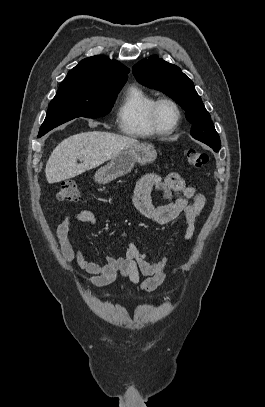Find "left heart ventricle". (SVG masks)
Instances as JSON below:
<instances>
[{
    "instance_id": "obj_1",
    "label": "left heart ventricle",
    "mask_w": 265,
    "mask_h": 407,
    "mask_svg": "<svg viewBox=\"0 0 265 407\" xmlns=\"http://www.w3.org/2000/svg\"><path fill=\"white\" fill-rule=\"evenodd\" d=\"M176 118L175 110L172 106L164 104L159 110V121L163 128H169L173 125Z\"/></svg>"
}]
</instances>
